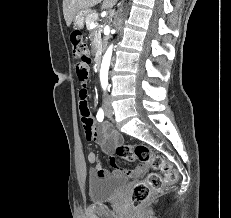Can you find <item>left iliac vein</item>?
Segmentation results:
<instances>
[{"label": "left iliac vein", "instance_id": "4c4485c4", "mask_svg": "<svg viewBox=\"0 0 231 218\" xmlns=\"http://www.w3.org/2000/svg\"><path fill=\"white\" fill-rule=\"evenodd\" d=\"M106 116L108 117V118H111L112 116H113V110H112V107H111V105L109 104L108 105V107H107V110H106Z\"/></svg>", "mask_w": 231, "mask_h": 218}]
</instances>
